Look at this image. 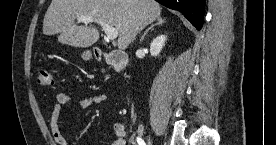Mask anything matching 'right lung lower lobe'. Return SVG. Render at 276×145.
Returning <instances> with one entry per match:
<instances>
[{
	"instance_id": "right-lung-lower-lobe-1",
	"label": "right lung lower lobe",
	"mask_w": 276,
	"mask_h": 145,
	"mask_svg": "<svg viewBox=\"0 0 276 145\" xmlns=\"http://www.w3.org/2000/svg\"><path fill=\"white\" fill-rule=\"evenodd\" d=\"M162 5L180 11L197 30L203 25L205 0H156Z\"/></svg>"
}]
</instances>
